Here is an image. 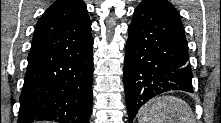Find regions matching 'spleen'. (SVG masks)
Instances as JSON below:
<instances>
[{
    "label": "spleen",
    "instance_id": "3e777b00",
    "mask_svg": "<svg viewBox=\"0 0 221 123\" xmlns=\"http://www.w3.org/2000/svg\"><path fill=\"white\" fill-rule=\"evenodd\" d=\"M138 123H195L190 106L174 96L153 98L137 114Z\"/></svg>",
    "mask_w": 221,
    "mask_h": 123
}]
</instances>
